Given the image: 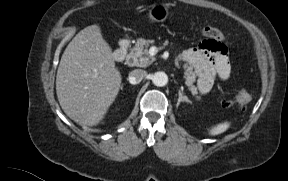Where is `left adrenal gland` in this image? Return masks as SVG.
<instances>
[{"instance_id":"a2214340","label":"left adrenal gland","mask_w":288,"mask_h":181,"mask_svg":"<svg viewBox=\"0 0 288 181\" xmlns=\"http://www.w3.org/2000/svg\"><path fill=\"white\" fill-rule=\"evenodd\" d=\"M179 102H190V100L188 99L187 96H184V95H182V93H179L178 103Z\"/></svg>"}]
</instances>
